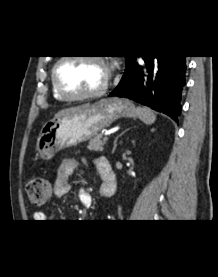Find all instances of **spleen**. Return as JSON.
<instances>
[{
    "label": "spleen",
    "mask_w": 218,
    "mask_h": 277,
    "mask_svg": "<svg viewBox=\"0 0 218 277\" xmlns=\"http://www.w3.org/2000/svg\"><path fill=\"white\" fill-rule=\"evenodd\" d=\"M137 116L147 125L153 124L156 120V115L145 107H137Z\"/></svg>",
    "instance_id": "spleen-1"
}]
</instances>
